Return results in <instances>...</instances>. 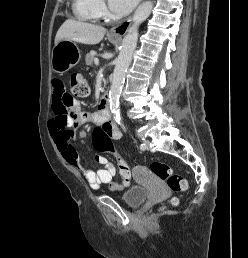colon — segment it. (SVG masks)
I'll return each mask as SVG.
<instances>
[{
	"label": "colon",
	"instance_id": "5ec220e1",
	"mask_svg": "<svg viewBox=\"0 0 248 258\" xmlns=\"http://www.w3.org/2000/svg\"><path fill=\"white\" fill-rule=\"evenodd\" d=\"M71 94L76 97H85L89 94L88 82L81 74H74L72 76ZM70 118L71 116L68 112L62 113V121L64 123H67ZM94 138L96 148L99 151H105V155H111V157L115 159L114 163L117 165V169H120V173L124 180L129 181L131 176V171L129 169L131 161H128L127 158H123V155L118 152L116 144H111L110 137L106 135L101 128L95 130ZM150 170L158 179L165 181L170 190L174 192H183L187 190V179L180 174L174 173L169 164L155 161L151 163ZM171 204L176 205L177 200H171Z\"/></svg>",
	"mask_w": 248,
	"mask_h": 258
}]
</instances>
